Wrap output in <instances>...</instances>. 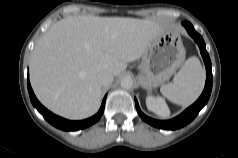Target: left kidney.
I'll use <instances>...</instances> for the list:
<instances>
[{"label": "left kidney", "instance_id": "5707ae66", "mask_svg": "<svg viewBox=\"0 0 238 158\" xmlns=\"http://www.w3.org/2000/svg\"><path fill=\"white\" fill-rule=\"evenodd\" d=\"M146 105L149 111L154 112L160 117H167L170 114L165 100L161 97L148 96L146 98Z\"/></svg>", "mask_w": 238, "mask_h": 158}]
</instances>
